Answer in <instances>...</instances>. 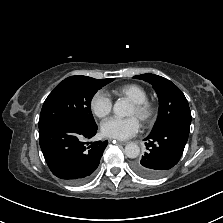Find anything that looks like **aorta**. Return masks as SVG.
Masks as SVG:
<instances>
[{
    "instance_id": "1",
    "label": "aorta",
    "mask_w": 223,
    "mask_h": 223,
    "mask_svg": "<svg viewBox=\"0 0 223 223\" xmlns=\"http://www.w3.org/2000/svg\"><path fill=\"white\" fill-rule=\"evenodd\" d=\"M130 105L124 100H118L113 106V112L117 117H126L130 114ZM124 153L128 158H137L140 154V148L136 143H128L125 146Z\"/></svg>"
}]
</instances>
